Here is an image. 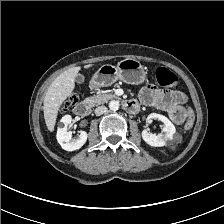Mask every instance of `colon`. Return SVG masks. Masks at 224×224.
<instances>
[{"label": "colon", "instance_id": "1", "mask_svg": "<svg viewBox=\"0 0 224 224\" xmlns=\"http://www.w3.org/2000/svg\"><path fill=\"white\" fill-rule=\"evenodd\" d=\"M156 80L161 86L174 87L178 83L177 76L165 67H158L156 70ZM73 104V101L69 103ZM185 128L189 129L192 125L191 112L188 108H184Z\"/></svg>", "mask_w": 224, "mask_h": 224}]
</instances>
